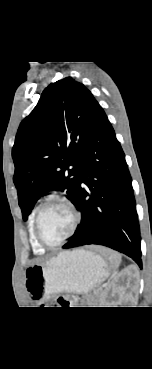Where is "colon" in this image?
<instances>
[{
  "instance_id": "colon-1",
  "label": "colon",
  "mask_w": 152,
  "mask_h": 369,
  "mask_svg": "<svg viewBox=\"0 0 152 369\" xmlns=\"http://www.w3.org/2000/svg\"><path fill=\"white\" fill-rule=\"evenodd\" d=\"M54 304L58 307H71L74 302L69 296L61 295L56 299Z\"/></svg>"
}]
</instances>
